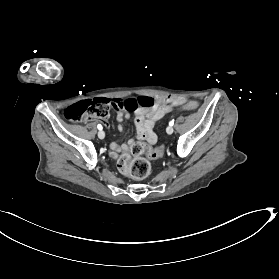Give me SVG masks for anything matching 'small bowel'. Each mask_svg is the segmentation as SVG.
<instances>
[{
  "label": "small bowel",
  "instance_id": "small-bowel-1",
  "mask_svg": "<svg viewBox=\"0 0 279 279\" xmlns=\"http://www.w3.org/2000/svg\"><path fill=\"white\" fill-rule=\"evenodd\" d=\"M184 103L183 99L172 98L167 96H159L156 98L155 106L151 109H138L135 112V126L137 130V138L139 140L147 141L149 144L156 142V135L153 131L155 123L161 119L165 114L170 112L173 107L179 106ZM130 114L128 112L120 111L117 113L118 122L128 119ZM107 128L110 127L108 122H105ZM118 130L122 131V124L118 125ZM134 141H129L132 144ZM111 156L116 158L118 153L125 151L128 148L126 144H119L116 142L111 143Z\"/></svg>",
  "mask_w": 279,
  "mask_h": 279
}]
</instances>
